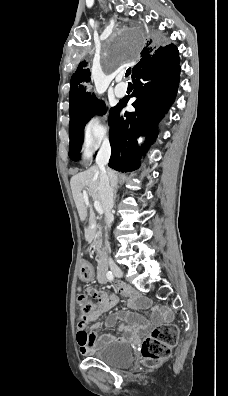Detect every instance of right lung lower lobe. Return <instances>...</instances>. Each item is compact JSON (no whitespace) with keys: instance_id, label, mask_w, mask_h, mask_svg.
Listing matches in <instances>:
<instances>
[{"instance_id":"right-lung-lower-lobe-1","label":"right lung lower lobe","mask_w":228,"mask_h":396,"mask_svg":"<svg viewBox=\"0 0 228 396\" xmlns=\"http://www.w3.org/2000/svg\"><path fill=\"white\" fill-rule=\"evenodd\" d=\"M179 56L174 45L160 47L139 62L132 74L137 99L132 103L134 112L119 113L129 98L117 104L111 121L109 139L111 157L109 167L127 172L138 168L142 149L137 146V137L146 135L148 144L155 140V124L173 103L179 85Z\"/></svg>"}]
</instances>
